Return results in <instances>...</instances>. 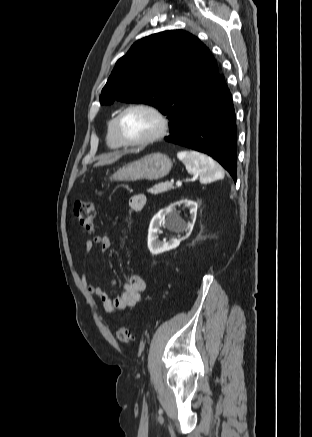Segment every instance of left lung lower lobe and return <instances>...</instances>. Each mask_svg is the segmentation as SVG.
<instances>
[{"mask_svg":"<svg viewBox=\"0 0 312 437\" xmlns=\"http://www.w3.org/2000/svg\"><path fill=\"white\" fill-rule=\"evenodd\" d=\"M236 130L232 95L224 77L218 75L165 140L208 154L236 181Z\"/></svg>","mask_w":312,"mask_h":437,"instance_id":"0a47b994","label":"left lung lower lobe"}]
</instances>
